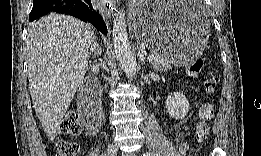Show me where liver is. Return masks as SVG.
<instances>
[{
  "mask_svg": "<svg viewBox=\"0 0 261 156\" xmlns=\"http://www.w3.org/2000/svg\"><path fill=\"white\" fill-rule=\"evenodd\" d=\"M94 40L91 24L67 15L50 14L28 29L30 94L51 141L56 138L70 102L83 82Z\"/></svg>",
  "mask_w": 261,
  "mask_h": 156,
  "instance_id": "1",
  "label": "liver"
}]
</instances>
